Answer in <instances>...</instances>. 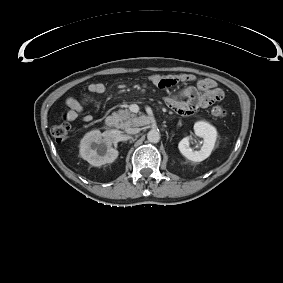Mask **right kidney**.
I'll list each match as a JSON object with an SVG mask.
<instances>
[{
	"label": "right kidney",
	"mask_w": 283,
	"mask_h": 283,
	"mask_svg": "<svg viewBox=\"0 0 283 283\" xmlns=\"http://www.w3.org/2000/svg\"><path fill=\"white\" fill-rule=\"evenodd\" d=\"M111 133L102 134L93 130L85 134L80 142L81 157L93 166L112 163L118 157V150L111 147Z\"/></svg>",
	"instance_id": "right-kidney-1"
}]
</instances>
